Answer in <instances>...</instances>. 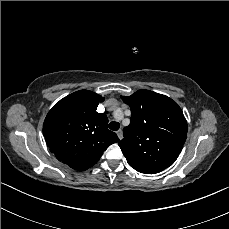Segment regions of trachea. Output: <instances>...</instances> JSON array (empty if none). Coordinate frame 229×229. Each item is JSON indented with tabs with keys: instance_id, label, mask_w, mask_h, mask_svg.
I'll return each instance as SVG.
<instances>
[{
	"instance_id": "1",
	"label": "trachea",
	"mask_w": 229,
	"mask_h": 229,
	"mask_svg": "<svg viewBox=\"0 0 229 229\" xmlns=\"http://www.w3.org/2000/svg\"><path fill=\"white\" fill-rule=\"evenodd\" d=\"M120 128V124L118 122H110L109 129L112 131H117Z\"/></svg>"
}]
</instances>
